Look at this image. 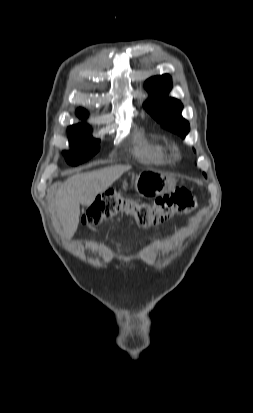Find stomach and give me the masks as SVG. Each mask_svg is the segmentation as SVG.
Masks as SVG:
<instances>
[{
    "label": "stomach",
    "mask_w": 253,
    "mask_h": 413,
    "mask_svg": "<svg viewBox=\"0 0 253 413\" xmlns=\"http://www.w3.org/2000/svg\"><path fill=\"white\" fill-rule=\"evenodd\" d=\"M175 186L176 181L172 177L151 171L141 172L134 181L136 192L145 198L170 193L175 189Z\"/></svg>",
    "instance_id": "0dacf381"
}]
</instances>
